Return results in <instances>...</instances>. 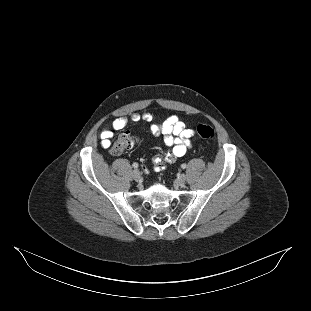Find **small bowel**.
Segmentation results:
<instances>
[{
  "mask_svg": "<svg viewBox=\"0 0 311 311\" xmlns=\"http://www.w3.org/2000/svg\"><path fill=\"white\" fill-rule=\"evenodd\" d=\"M132 120L135 122L140 120L149 121L150 116L148 114H143L141 116L135 114L132 116ZM127 123L128 120L126 117H119L113 120L110 127L103 128L99 133L102 146L108 148L113 137V131L123 129ZM151 131L154 135H162L165 146L169 148V151L164 156H154L153 162L157 165V170L160 169L164 161L172 163L177 158L184 156L192 147L194 132L176 115L168 117L162 123H153L151 125Z\"/></svg>",
  "mask_w": 311,
  "mask_h": 311,
  "instance_id": "small-bowel-1",
  "label": "small bowel"
}]
</instances>
